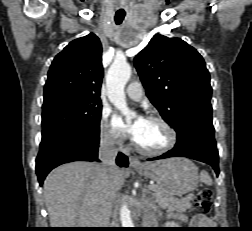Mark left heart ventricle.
<instances>
[{
    "label": "left heart ventricle",
    "instance_id": "obj_1",
    "mask_svg": "<svg viewBox=\"0 0 252 231\" xmlns=\"http://www.w3.org/2000/svg\"><path fill=\"white\" fill-rule=\"evenodd\" d=\"M135 140L141 147L155 150L164 147L169 140V136L162 124L146 120L140 134Z\"/></svg>",
    "mask_w": 252,
    "mask_h": 231
}]
</instances>
